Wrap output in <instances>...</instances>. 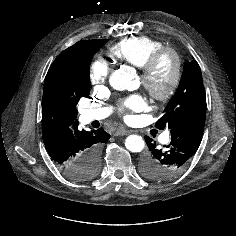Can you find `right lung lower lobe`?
I'll use <instances>...</instances> for the list:
<instances>
[{
    "label": "right lung lower lobe",
    "mask_w": 236,
    "mask_h": 236,
    "mask_svg": "<svg viewBox=\"0 0 236 236\" xmlns=\"http://www.w3.org/2000/svg\"><path fill=\"white\" fill-rule=\"evenodd\" d=\"M109 138L110 135L102 128L91 131L79 130L78 123L70 128L43 133V142L49 156L65 175L75 181H82V166L91 155L100 154L101 145Z\"/></svg>",
    "instance_id": "98d812e1"
}]
</instances>
